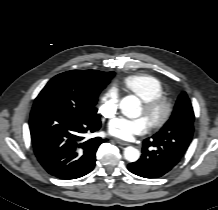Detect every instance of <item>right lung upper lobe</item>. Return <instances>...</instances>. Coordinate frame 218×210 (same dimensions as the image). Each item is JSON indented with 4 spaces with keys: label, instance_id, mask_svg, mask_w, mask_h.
Returning <instances> with one entry per match:
<instances>
[{
    "label": "right lung upper lobe",
    "instance_id": "right-lung-upper-lobe-1",
    "mask_svg": "<svg viewBox=\"0 0 218 210\" xmlns=\"http://www.w3.org/2000/svg\"><path fill=\"white\" fill-rule=\"evenodd\" d=\"M66 73L76 77L77 79H80L87 84L109 82L114 76V72H102L97 70H72Z\"/></svg>",
    "mask_w": 218,
    "mask_h": 210
}]
</instances>
